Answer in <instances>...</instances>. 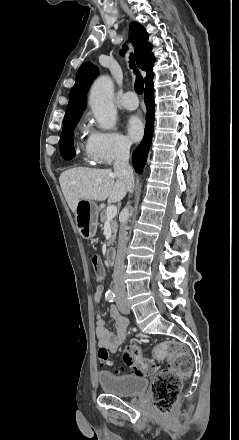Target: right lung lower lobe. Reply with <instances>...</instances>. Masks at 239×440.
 Instances as JSON below:
<instances>
[{
	"label": "right lung lower lobe",
	"instance_id": "obj_1",
	"mask_svg": "<svg viewBox=\"0 0 239 440\" xmlns=\"http://www.w3.org/2000/svg\"><path fill=\"white\" fill-rule=\"evenodd\" d=\"M152 80L153 74L145 79V104L147 105L145 134L143 141L134 150L132 156L133 166L138 173H142L153 136L155 103ZM61 154L66 160H70L75 156V150L72 148Z\"/></svg>",
	"mask_w": 239,
	"mask_h": 440
}]
</instances>
